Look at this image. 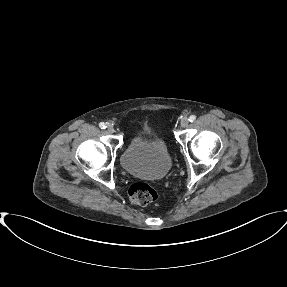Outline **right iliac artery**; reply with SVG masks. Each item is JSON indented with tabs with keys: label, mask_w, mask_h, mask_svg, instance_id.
I'll use <instances>...</instances> for the list:
<instances>
[{
	"label": "right iliac artery",
	"mask_w": 287,
	"mask_h": 287,
	"mask_svg": "<svg viewBox=\"0 0 287 287\" xmlns=\"http://www.w3.org/2000/svg\"><path fill=\"white\" fill-rule=\"evenodd\" d=\"M99 127H100L101 129H105V128H106V125H105L104 122H101V123L99 124Z\"/></svg>",
	"instance_id": "82829eb1"
}]
</instances>
